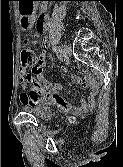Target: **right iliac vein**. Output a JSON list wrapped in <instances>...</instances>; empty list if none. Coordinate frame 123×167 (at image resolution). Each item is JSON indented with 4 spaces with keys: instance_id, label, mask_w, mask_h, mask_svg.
<instances>
[{
    "instance_id": "obj_1",
    "label": "right iliac vein",
    "mask_w": 123,
    "mask_h": 167,
    "mask_svg": "<svg viewBox=\"0 0 123 167\" xmlns=\"http://www.w3.org/2000/svg\"><path fill=\"white\" fill-rule=\"evenodd\" d=\"M67 49H68V47H67L66 44H63V45L61 46V49H60L61 58H63V57L65 56V54H66V52H67Z\"/></svg>"
}]
</instances>
